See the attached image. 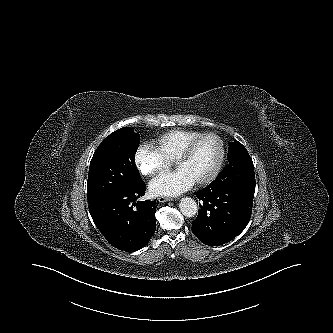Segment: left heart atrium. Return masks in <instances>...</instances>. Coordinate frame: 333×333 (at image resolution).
<instances>
[{"mask_svg": "<svg viewBox=\"0 0 333 333\" xmlns=\"http://www.w3.org/2000/svg\"><path fill=\"white\" fill-rule=\"evenodd\" d=\"M195 181L183 170L163 174L149 184L150 192L157 196H178L194 185Z\"/></svg>", "mask_w": 333, "mask_h": 333, "instance_id": "1", "label": "left heart atrium"}]
</instances>
